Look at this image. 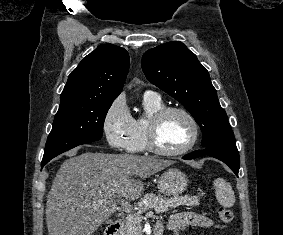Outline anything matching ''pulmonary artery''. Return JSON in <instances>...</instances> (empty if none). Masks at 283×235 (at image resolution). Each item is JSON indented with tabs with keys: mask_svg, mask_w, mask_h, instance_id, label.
<instances>
[{
	"mask_svg": "<svg viewBox=\"0 0 283 235\" xmlns=\"http://www.w3.org/2000/svg\"><path fill=\"white\" fill-rule=\"evenodd\" d=\"M145 94H155L156 95V93L153 91H147Z\"/></svg>",
	"mask_w": 283,
	"mask_h": 235,
	"instance_id": "pulmonary-artery-1",
	"label": "pulmonary artery"
}]
</instances>
